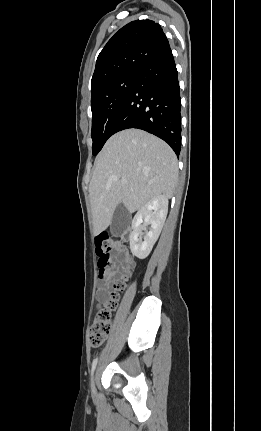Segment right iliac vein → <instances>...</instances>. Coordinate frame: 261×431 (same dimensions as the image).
Masks as SVG:
<instances>
[{
  "label": "right iliac vein",
  "instance_id": "right-iliac-vein-1",
  "mask_svg": "<svg viewBox=\"0 0 261 431\" xmlns=\"http://www.w3.org/2000/svg\"><path fill=\"white\" fill-rule=\"evenodd\" d=\"M91 388H92V392L95 393V380H92V384H91Z\"/></svg>",
  "mask_w": 261,
  "mask_h": 431
}]
</instances>
